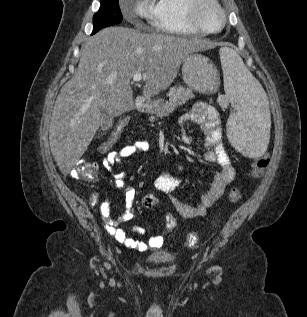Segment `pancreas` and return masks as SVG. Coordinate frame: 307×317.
<instances>
[{
	"instance_id": "1",
	"label": "pancreas",
	"mask_w": 307,
	"mask_h": 317,
	"mask_svg": "<svg viewBox=\"0 0 307 317\" xmlns=\"http://www.w3.org/2000/svg\"><path fill=\"white\" fill-rule=\"evenodd\" d=\"M167 96L169 100L159 105L155 116H150L149 120L154 121L157 117H163L172 113L178 106L186 103L189 99L194 98L192 90L183 86L171 87Z\"/></svg>"
}]
</instances>
